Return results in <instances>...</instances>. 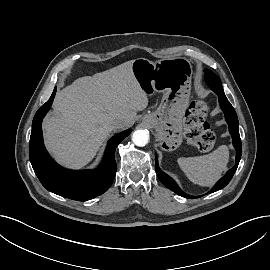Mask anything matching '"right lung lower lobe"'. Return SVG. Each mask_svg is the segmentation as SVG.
Wrapping results in <instances>:
<instances>
[{"label":"right lung lower lobe","mask_w":270,"mask_h":270,"mask_svg":"<svg viewBox=\"0 0 270 270\" xmlns=\"http://www.w3.org/2000/svg\"><path fill=\"white\" fill-rule=\"evenodd\" d=\"M56 88L50 99L36 112L29 143V157L41 184L50 192L78 201H87L103 194L112 184L116 174L115 149L131 132L130 129L112 137L104 159L95 170L72 171L56 164L43 144L41 123L55 97Z\"/></svg>","instance_id":"obj_1"}]
</instances>
